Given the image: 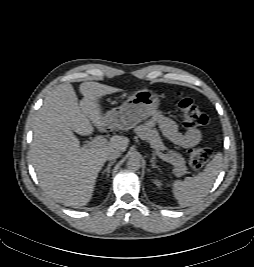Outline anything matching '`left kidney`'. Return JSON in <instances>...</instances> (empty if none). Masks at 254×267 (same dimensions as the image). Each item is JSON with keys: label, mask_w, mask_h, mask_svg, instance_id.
<instances>
[{"label": "left kidney", "mask_w": 254, "mask_h": 267, "mask_svg": "<svg viewBox=\"0 0 254 267\" xmlns=\"http://www.w3.org/2000/svg\"><path fill=\"white\" fill-rule=\"evenodd\" d=\"M154 183H155L158 187H161V186H162L161 181L158 180V179H156V180L154 181Z\"/></svg>", "instance_id": "obj_1"}]
</instances>
